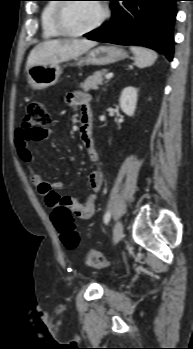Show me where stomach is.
I'll return each instance as SVG.
<instances>
[{
  "label": "stomach",
  "mask_w": 193,
  "mask_h": 349,
  "mask_svg": "<svg viewBox=\"0 0 193 349\" xmlns=\"http://www.w3.org/2000/svg\"><path fill=\"white\" fill-rule=\"evenodd\" d=\"M128 56L127 52L117 46L105 45L91 50L85 57L75 59L76 65L84 64L104 66L120 61ZM62 72L61 66L56 64L34 65L27 73L28 84L32 89H44L54 85Z\"/></svg>",
  "instance_id": "obj_1"
}]
</instances>
